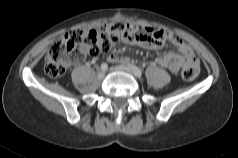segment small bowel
Instances as JSON below:
<instances>
[{"label": "small bowel", "instance_id": "1", "mask_svg": "<svg viewBox=\"0 0 238 158\" xmlns=\"http://www.w3.org/2000/svg\"><path fill=\"white\" fill-rule=\"evenodd\" d=\"M134 34L131 39L126 40L127 43L136 45L145 49L157 50L161 49L165 43L172 44L178 53L167 52L156 58V63L162 67L170 69L172 72H178L181 68L199 65V60L195 56L191 47L178 36L155 27H144L142 31L135 25H132ZM109 61L114 63H125L127 57L119 55H110Z\"/></svg>", "mask_w": 238, "mask_h": 158}]
</instances>
